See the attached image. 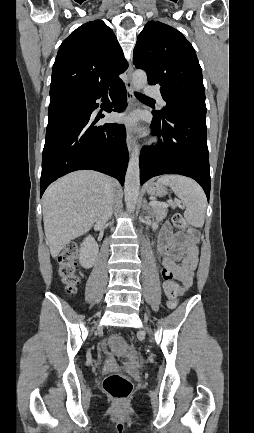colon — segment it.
<instances>
[{"label":"colon","instance_id":"colon-1","mask_svg":"<svg viewBox=\"0 0 254 433\" xmlns=\"http://www.w3.org/2000/svg\"><path fill=\"white\" fill-rule=\"evenodd\" d=\"M172 223L182 234H195L194 229L187 225L181 214H174ZM58 265V273L65 285L66 292L69 294L76 292L80 283V277L77 271V248L75 246L66 248L58 257ZM163 277L167 282L165 294L169 299V305L174 307L181 295V289L173 280L169 271H165ZM111 343L116 347H122L124 345V341L120 336H114L111 339ZM103 389L112 400L124 401L132 392V383L124 375L110 374L103 381Z\"/></svg>","mask_w":254,"mask_h":433}]
</instances>
